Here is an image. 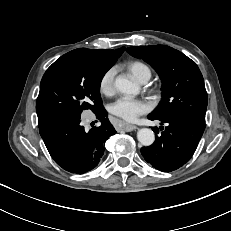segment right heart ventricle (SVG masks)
<instances>
[{
    "mask_svg": "<svg viewBox=\"0 0 231 231\" xmlns=\"http://www.w3.org/2000/svg\"><path fill=\"white\" fill-rule=\"evenodd\" d=\"M129 73L136 79L140 80L144 75H151L150 68L141 61H131L126 64Z\"/></svg>",
    "mask_w": 231,
    "mask_h": 231,
    "instance_id": "right-heart-ventricle-1",
    "label": "right heart ventricle"
}]
</instances>
